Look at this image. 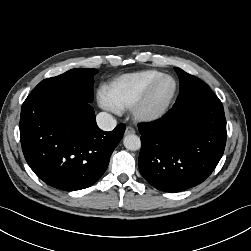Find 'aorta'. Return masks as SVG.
Returning <instances> with one entry per match:
<instances>
[{
    "label": "aorta",
    "instance_id": "762f6f07",
    "mask_svg": "<svg viewBox=\"0 0 251 251\" xmlns=\"http://www.w3.org/2000/svg\"><path fill=\"white\" fill-rule=\"evenodd\" d=\"M123 144L126 149H129L131 151L139 150L141 147L140 138L135 134H129L125 136Z\"/></svg>",
    "mask_w": 251,
    "mask_h": 251
}]
</instances>
